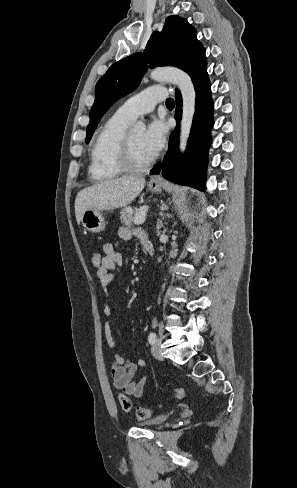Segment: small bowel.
<instances>
[{"label":"small bowel","instance_id":"small-bowel-1","mask_svg":"<svg viewBox=\"0 0 297 488\" xmlns=\"http://www.w3.org/2000/svg\"><path fill=\"white\" fill-rule=\"evenodd\" d=\"M136 235L144 246L152 244L148 235L138 229H130L128 227H120L118 230V237L122 241L129 240L132 235ZM104 256L101 260V266L96 271V276L99 281L101 290L104 293V314L109 319L112 316V309L109 303V287L114 280L112 271L123 264L122 254L111 244L105 243L103 245ZM105 338L108 346L111 349H116L111 327L109 323L105 326ZM146 366L144 359H138L136 363H132L128 358L121 354L115 353L111 366L112 386L122 391L123 393L141 397L144 392L145 377H137L139 369Z\"/></svg>","mask_w":297,"mask_h":488}]
</instances>
